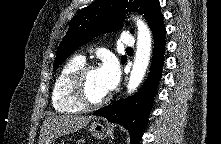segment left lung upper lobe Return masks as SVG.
I'll list each match as a JSON object with an SVG mask.
<instances>
[{
    "label": "left lung upper lobe",
    "mask_w": 221,
    "mask_h": 144,
    "mask_svg": "<svg viewBox=\"0 0 221 144\" xmlns=\"http://www.w3.org/2000/svg\"><path fill=\"white\" fill-rule=\"evenodd\" d=\"M134 10L143 14L151 29L162 17L159 0H96L81 9L58 46L53 71L82 44L99 34L121 29L125 13ZM121 62L124 64L126 58L122 57Z\"/></svg>",
    "instance_id": "left-lung-upper-lobe-1"
}]
</instances>
